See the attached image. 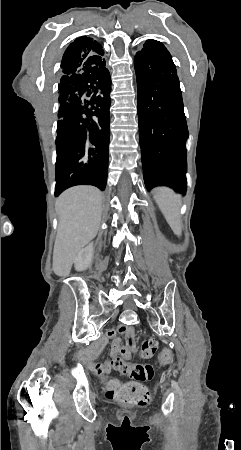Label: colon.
<instances>
[{
    "mask_svg": "<svg viewBox=\"0 0 241 450\" xmlns=\"http://www.w3.org/2000/svg\"><path fill=\"white\" fill-rule=\"evenodd\" d=\"M159 342L155 338L146 339L140 347V356L150 358L157 352ZM167 348L161 353L159 360L162 363L167 362L170 357ZM135 382L120 383L115 380H109L104 385L103 396L111 402H117L128 407L146 408L151 402L150 390L142 384L136 383L143 380H150L155 376L156 369L151 364H128L125 363L121 370Z\"/></svg>",
    "mask_w": 241,
    "mask_h": 450,
    "instance_id": "colon-1",
    "label": "colon"
}]
</instances>
